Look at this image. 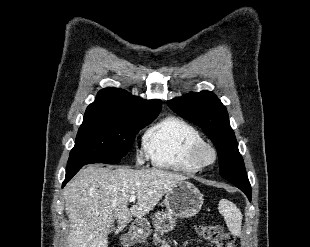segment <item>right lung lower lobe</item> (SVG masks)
Listing matches in <instances>:
<instances>
[{"label": "right lung lower lobe", "mask_w": 310, "mask_h": 247, "mask_svg": "<svg viewBox=\"0 0 310 247\" xmlns=\"http://www.w3.org/2000/svg\"><path fill=\"white\" fill-rule=\"evenodd\" d=\"M82 166H84V165H80V166H76V167L67 169L66 178L62 184V187L65 186V184L82 168Z\"/></svg>", "instance_id": "98d812e1"}]
</instances>
